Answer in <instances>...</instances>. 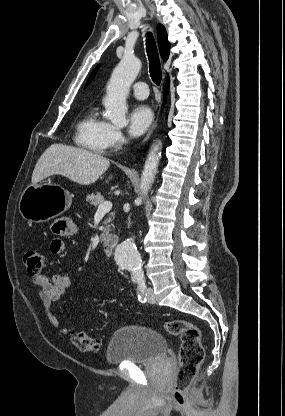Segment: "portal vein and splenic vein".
<instances>
[{"label":"portal vein and splenic vein","instance_id":"obj_1","mask_svg":"<svg viewBox=\"0 0 285 416\" xmlns=\"http://www.w3.org/2000/svg\"><path fill=\"white\" fill-rule=\"evenodd\" d=\"M111 208V202H103V204H100V206H98V210L95 216H102V214H107V212H110Z\"/></svg>","mask_w":285,"mask_h":416}]
</instances>
